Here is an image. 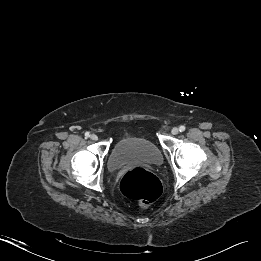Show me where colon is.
<instances>
[{"mask_svg":"<svg viewBox=\"0 0 261 261\" xmlns=\"http://www.w3.org/2000/svg\"><path fill=\"white\" fill-rule=\"evenodd\" d=\"M120 190L128 198L137 200L147 206L155 201L162 193L160 180L144 168H134L121 179Z\"/></svg>","mask_w":261,"mask_h":261,"instance_id":"obj_1","label":"colon"}]
</instances>
